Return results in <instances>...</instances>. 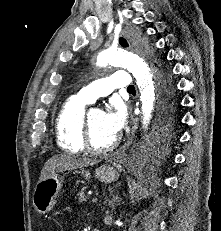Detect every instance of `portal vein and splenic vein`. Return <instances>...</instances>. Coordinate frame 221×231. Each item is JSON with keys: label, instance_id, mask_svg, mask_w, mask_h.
<instances>
[{"label": "portal vein and splenic vein", "instance_id": "1", "mask_svg": "<svg viewBox=\"0 0 221 231\" xmlns=\"http://www.w3.org/2000/svg\"><path fill=\"white\" fill-rule=\"evenodd\" d=\"M97 197H95V196H93L92 198H91V201L93 202V203H96L97 202Z\"/></svg>", "mask_w": 221, "mask_h": 231}]
</instances>
